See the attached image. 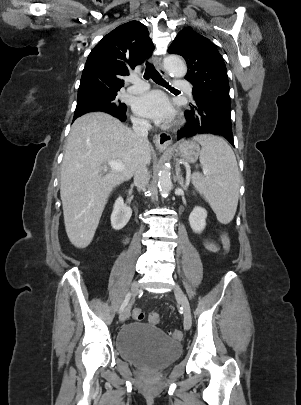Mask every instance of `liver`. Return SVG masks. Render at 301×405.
<instances>
[{"label": "liver", "instance_id": "1", "mask_svg": "<svg viewBox=\"0 0 301 405\" xmlns=\"http://www.w3.org/2000/svg\"><path fill=\"white\" fill-rule=\"evenodd\" d=\"M153 151L118 119L102 112L77 118L67 139L61 167L60 196L71 243L87 247L113 189L132 178L139 163L149 164ZM120 160L121 172L103 175V165Z\"/></svg>", "mask_w": 301, "mask_h": 405}]
</instances>
